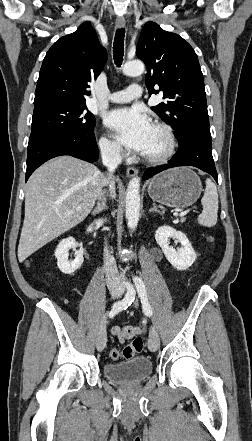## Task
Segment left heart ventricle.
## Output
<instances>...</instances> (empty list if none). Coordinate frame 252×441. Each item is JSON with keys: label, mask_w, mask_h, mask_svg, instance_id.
Instances as JSON below:
<instances>
[{"label": "left heart ventricle", "mask_w": 252, "mask_h": 441, "mask_svg": "<svg viewBox=\"0 0 252 441\" xmlns=\"http://www.w3.org/2000/svg\"><path fill=\"white\" fill-rule=\"evenodd\" d=\"M167 148V141L163 133L157 128L153 127L152 136L149 145L145 151V155H159Z\"/></svg>", "instance_id": "1"}]
</instances>
